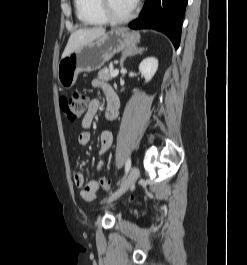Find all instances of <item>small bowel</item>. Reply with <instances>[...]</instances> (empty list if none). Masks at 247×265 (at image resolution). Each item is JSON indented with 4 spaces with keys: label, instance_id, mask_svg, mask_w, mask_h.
<instances>
[{
    "label": "small bowel",
    "instance_id": "obj_1",
    "mask_svg": "<svg viewBox=\"0 0 247 265\" xmlns=\"http://www.w3.org/2000/svg\"><path fill=\"white\" fill-rule=\"evenodd\" d=\"M93 86L100 89L107 100V107L105 111V117L110 120L114 121L118 117L119 111V100L117 95L115 94L112 87L101 80L95 79L92 82ZM100 108V102L97 99L92 100L89 103L88 110L85 113L82 119V127L84 129H88ZM91 135L90 132L87 130L82 131L78 136V142L80 145L85 146L90 142ZM113 142V135L110 131H103L100 134V147H99V154H104L109 148L111 147ZM104 162L100 163V169H102ZM73 181L75 185L79 188H82L80 194L81 197L86 201H91L95 199L97 192L100 190L101 186L98 181L90 180L89 182L85 183L84 175L81 172H76L73 176Z\"/></svg>",
    "mask_w": 247,
    "mask_h": 265
}]
</instances>
